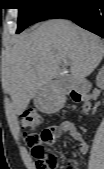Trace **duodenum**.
<instances>
[{
	"instance_id": "duodenum-1",
	"label": "duodenum",
	"mask_w": 104,
	"mask_h": 169,
	"mask_svg": "<svg viewBox=\"0 0 104 169\" xmlns=\"http://www.w3.org/2000/svg\"><path fill=\"white\" fill-rule=\"evenodd\" d=\"M55 79H59V77H56ZM75 91L80 94L82 99L85 102L89 101V93H90V88L91 85L87 80H78L75 85H74Z\"/></svg>"
}]
</instances>
